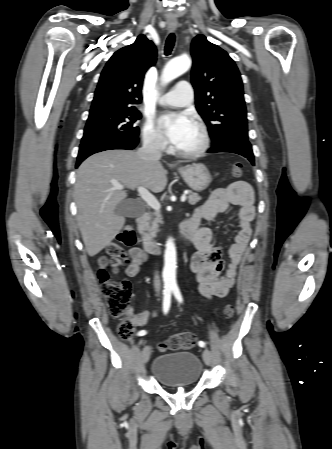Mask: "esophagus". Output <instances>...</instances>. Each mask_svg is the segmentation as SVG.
I'll return each instance as SVG.
<instances>
[{
	"instance_id": "obj_1",
	"label": "esophagus",
	"mask_w": 332,
	"mask_h": 449,
	"mask_svg": "<svg viewBox=\"0 0 332 449\" xmlns=\"http://www.w3.org/2000/svg\"><path fill=\"white\" fill-rule=\"evenodd\" d=\"M176 28H177V25H176V24H169V25H168V29H169L170 31H174Z\"/></svg>"
}]
</instances>
